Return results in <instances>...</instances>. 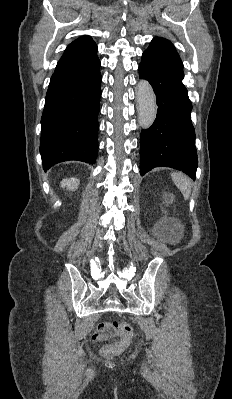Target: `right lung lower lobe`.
<instances>
[{
  "mask_svg": "<svg viewBox=\"0 0 232 399\" xmlns=\"http://www.w3.org/2000/svg\"><path fill=\"white\" fill-rule=\"evenodd\" d=\"M96 53L63 55L51 77L41 119L45 170L68 160L95 163L101 96Z\"/></svg>",
  "mask_w": 232,
  "mask_h": 399,
  "instance_id": "98d812e1",
  "label": "right lung lower lobe"
}]
</instances>
